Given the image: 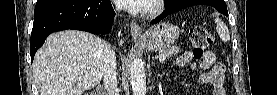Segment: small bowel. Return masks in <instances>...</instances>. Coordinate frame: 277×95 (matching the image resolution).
<instances>
[{"label":"small bowel","mask_w":277,"mask_h":95,"mask_svg":"<svg viewBox=\"0 0 277 95\" xmlns=\"http://www.w3.org/2000/svg\"><path fill=\"white\" fill-rule=\"evenodd\" d=\"M193 62L194 66H198L203 71L199 76L201 84H212L214 86L213 95H225L226 92L223 88V68L216 62L215 54L212 51H205L200 57L194 58L191 52L187 51L181 54L177 63L184 66Z\"/></svg>","instance_id":"small-bowel-1"}]
</instances>
